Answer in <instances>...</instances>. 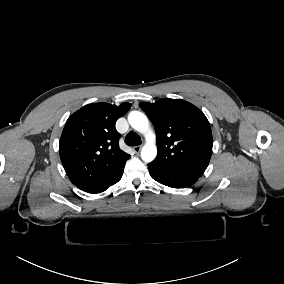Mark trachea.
Here are the masks:
<instances>
[{"instance_id": "obj_1", "label": "trachea", "mask_w": 284, "mask_h": 284, "mask_svg": "<svg viewBox=\"0 0 284 284\" xmlns=\"http://www.w3.org/2000/svg\"><path fill=\"white\" fill-rule=\"evenodd\" d=\"M141 142V137L133 131L126 135L125 143L129 146H138L141 144Z\"/></svg>"}]
</instances>
